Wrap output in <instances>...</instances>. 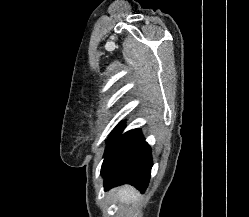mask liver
Listing matches in <instances>:
<instances>
[{"label": "liver", "mask_w": 249, "mask_h": 217, "mask_svg": "<svg viewBox=\"0 0 249 217\" xmlns=\"http://www.w3.org/2000/svg\"><path fill=\"white\" fill-rule=\"evenodd\" d=\"M116 192H117V198L122 203L133 202L138 195L137 191L129 185H125L118 188Z\"/></svg>", "instance_id": "1"}]
</instances>
